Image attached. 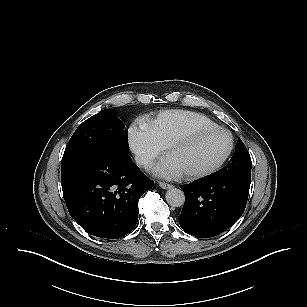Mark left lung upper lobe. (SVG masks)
<instances>
[{
	"mask_svg": "<svg viewBox=\"0 0 307 307\" xmlns=\"http://www.w3.org/2000/svg\"><path fill=\"white\" fill-rule=\"evenodd\" d=\"M251 168L252 162L249 152L239 138L235 147V153L230 159V162L224 168L210 176L217 178L237 175L251 176Z\"/></svg>",
	"mask_w": 307,
	"mask_h": 307,
	"instance_id": "left-lung-upper-lobe-1",
	"label": "left lung upper lobe"
}]
</instances>
